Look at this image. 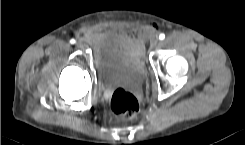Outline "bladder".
Returning <instances> with one entry per match:
<instances>
[{"label": "bladder", "mask_w": 245, "mask_h": 145, "mask_svg": "<svg viewBox=\"0 0 245 145\" xmlns=\"http://www.w3.org/2000/svg\"><path fill=\"white\" fill-rule=\"evenodd\" d=\"M94 64L105 83L135 85L145 74L143 48L126 33L105 35L94 56Z\"/></svg>", "instance_id": "obj_1"}]
</instances>
